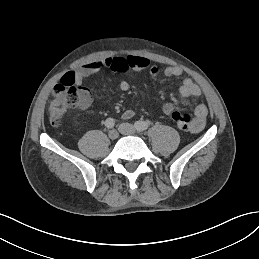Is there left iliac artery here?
<instances>
[{"label": "left iliac artery", "mask_w": 259, "mask_h": 259, "mask_svg": "<svg viewBox=\"0 0 259 259\" xmlns=\"http://www.w3.org/2000/svg\"><path fill=\"white\" fill-rule=\"evenodd\" d=\"M134 125H135V128L139 132H142V131H145L149 127L150 122H148V121H136Z\"/></svg>", "instance_id": "1"}]
</instances>
